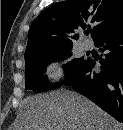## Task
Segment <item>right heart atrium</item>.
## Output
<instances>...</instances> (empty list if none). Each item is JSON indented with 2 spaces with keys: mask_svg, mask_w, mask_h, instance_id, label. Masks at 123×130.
Returning <instances> with one entry per match:
<instances>
[{
  "mask_svg": "<svg viewBox=\"0 0 123 130\" xmlns=\"http://www.w3.org/2000/svg\"><path fill=\"white\" fill-rule=\"evenodd\" d=\"M47 73L51 80L57 81L62 77L63 70L59 63L53 62L48 66Z\"/></svg>",
  "mask_w": 123,
  "mask_h": 130,
  "instance_id": "right-heart-atrium-1",
  "label": "right heart atrium"
}]
</instances>
